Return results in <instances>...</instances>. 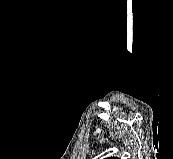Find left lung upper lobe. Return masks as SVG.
Masks as SVG:
<instances>
[{"instance_id":"left-lung-upper-lobe-1","label":"left lung upper lobe","mask_w":173,"mask_h":159,"mask_svg":"<svg viewBox=\"0 0 173 159\" xmlns=\"http://www.w3.org/2000/svg\"><path fill=\"white\" fill-rule=\"evenodd\" d=\"M107 159H118L117 157H110V158H107Z\"/></svg>"}]
</instances>
